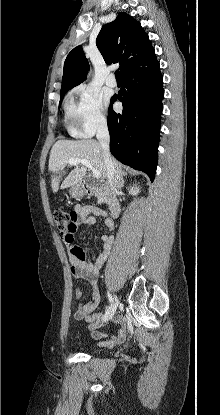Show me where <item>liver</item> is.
Listing matches in <instances>:
<instances>
[{
  "mask_svg": "<svg viewBox=\"0 0 220 415\" xmlns=\"http://www.w3.org/2000/svg\"><path fill=\"white\" fill-rule=\"evenodd\" d=\"M84 159L101 173V180L104 181L106 176V167L103 160L102 147L100 143L93 139L83 140H58L52 147L49 158V171L51 172V186L53 192L59 189V183L62 175H65V168L69 159ZM115 171H121L122 165L115 159H112ZM86 174V167L79 163L63 180L60 188L65 189L80 184Z\"/></svg>",
  "mask_w": 220,
  "mask_h": 415,
  "instance_id": "obj_1",
  "label": "liver"
}]
</instances>
